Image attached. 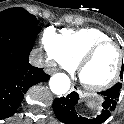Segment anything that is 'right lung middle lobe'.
<instances>
[{"label":"right lung middle lobe","instance_id":"1","mask_svg":"<svg viewBox=\"0 0 124 124\" xmlns=\"http://www.w3.org/2000/svg\"><path fill=\"white\" fill-rule=\"evenodd\" d=\"M39 21L24 8H9L0 12V29H19L38 26Z\"/></svg>","mask_w":124,"mask_h":124}]
</instances>
